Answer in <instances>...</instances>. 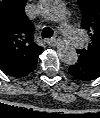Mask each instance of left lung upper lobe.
Wrapping results in <instances>:
<instances>
[{
  "instance_id": "1",
  "label": "left lung upper lobe",
  "mask_w": 100,
  "mask_h": 118,
  "mask_svg": "<svg viewBox=\"0 0 100 118\" xmlns=\"http://www.w3.org/2000/svg\"><path fill=\"white\" fill-rule=\"evenodd\" d=\"M82 12V28L91 37L86 49L77 50L79 59L100 68V0H77Z\"/></svg>"
}]
</instances>
